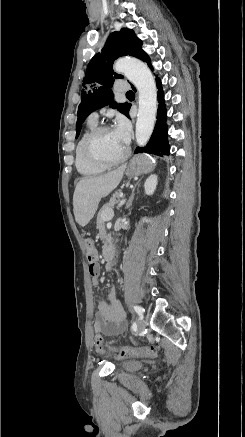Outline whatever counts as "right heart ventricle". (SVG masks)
Here are the masks:
<instances>
[{
	"label": "right heart ventricle",
	"instance_id": "obj_1",
	"mask_svg": "<svg viewBox=\"0 0 245 437\" xmlns=\"http://www.w3.org/2000/svg\"><path fill=\"white\" fill-rule=\"evenodd\" d=\"M97 126V123L88 120L84 131L79 137L75 147V167L77 171L84 176H95L103 173L107 167L99 166L92 163L84 154L83 143L87 134Z\"/></svg>",
	"mask_w": 245,
	"mask_h": 437
}]
</instances>
